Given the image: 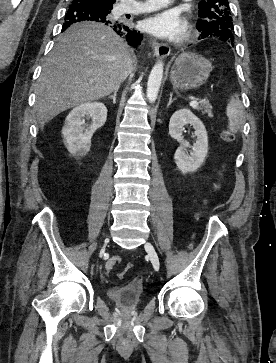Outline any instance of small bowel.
I'll use <instances>...</instances> for the list:
<instances>
[{
    "mask_svg": "<svg viewBox=\"0 0 276 363\" xmlns=\"http://www.w3.org/2000/svg\"><path fill=\"white\" fill-rule=\"evenodd\" d=\"M120 263H121V258L119 256L110 257L105 264V271L107 273L110 272L115 265Z\"/></svg>",
    "mask_w": 276,
    "mask_h": 363,
    "instance_id": "1",
    "label": "small bowel"
}]
</instances>
